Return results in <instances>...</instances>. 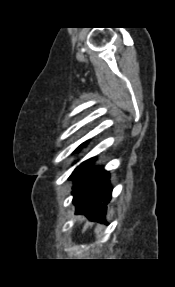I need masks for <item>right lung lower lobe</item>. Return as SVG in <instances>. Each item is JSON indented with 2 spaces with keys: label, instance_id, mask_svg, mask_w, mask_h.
<instances>
[{
  "label": "right lung lower lobe",
  "instance_id": "obj_1",
  "mask_svg": "<svg viewBox=\"0 0 175 287\" xmlns=\"http://www.w3.org/2000/svg\"><path fill=\"white\" fill-rule=\"evenodd\" d=\"M94 159L83 162L70 176L74 181L73 203L77 214H85L91 220L104 221L112 188L109 173L102 167H92Z\"/></svg>",
  "mask_w": 175,
  "mask_h": 287
}]
</instances>
